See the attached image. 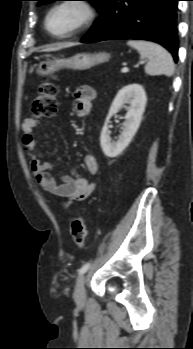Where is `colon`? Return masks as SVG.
Masks as SVG:
<instances>
[{"instance_id":"colon-1","label":"colon","mask_w":193,"mask_h":349,"mask_svg":"<svg viewBox=\"0 0 193 349\" xmlns=\"http://www.w3.org/2000/svg\"><path fill=\"white\" fill-rule=\"evenodd\" d=\"M57 88L50 80L46 79L38 88L32 105V118L40 120L50 118L57 112ZM71 235L75 244L83 248L88 237V230L82 216L75 217L70 225Z\"/></svg>"}]
</instances>
